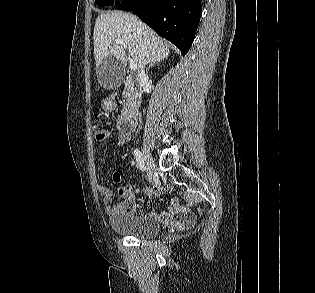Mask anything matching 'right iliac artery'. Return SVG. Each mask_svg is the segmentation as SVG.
Wrapping results in <instances>:
<instances>
[{
    "instance_id": "right-iliac-artery-1",
    "label": "right iliac artery",
    "mask_w": 315,
    "mask_h": 293,
    "mask_svg": "<svg viewBox=\"0 0 315 293\" xmlns=\"http://www.w3.org/2000/svg\"><path fill=\"white\" fill-rule=\"evenodd\" d=\"M134 155L136 157V161H137V164H138V167L140 168V170L145 171L146 166H145V162H144L142 153L138 149H134Z\"/></svg>"
}]
</instances>
